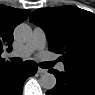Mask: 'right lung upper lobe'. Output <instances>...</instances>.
Wrapping results in <instances>:
<instances>
[{
    "label": "right lung upper lobe",
    "mask_w": 95,
    "mask_h": 95,
    "mask_svg": "<svg viewBox=\"0 0 95 95\" xmlns=\"http://www.w3.org/2000/svg\"><path fill=\"white\" fill-rule=\"evenodd\" d=\"M30 11L24 9H16L4 5H0V55L3 52V47L12 48L13 30L14 28L28 18ZM12 65L10 62H5L0 57V69Z\"/></svg>",
    "instance_id": "obj_1"
}]
</instances>
